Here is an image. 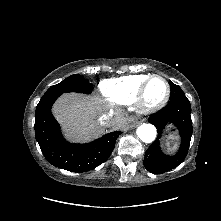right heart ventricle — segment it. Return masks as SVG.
<instances>
[{
    "instance_id": "e07e8e85",
    "label": "right heart ventricle",
    "mask_w": 221,
    "mask_h": 221,
    "mask_svg": "<svg viewBox=\"0 0 221 221\" xmlns=\"http://www.w3.org/2000/svg\"><path fill=\"white\" fill-rule=\"evenodd\" d=\"M149 77L146 74L128 75L100 83L103 96L112 104L125 106L135 102L138 91Z\"/></svg>"
}]
</instances>
